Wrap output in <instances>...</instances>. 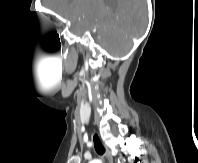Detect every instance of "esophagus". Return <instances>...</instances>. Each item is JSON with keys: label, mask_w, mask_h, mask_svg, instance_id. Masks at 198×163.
<instances>
[{"label": "esophagus", "mask_w": 198, "mask_h": 163, "mask_svg": "<svg viewBox=\"0 0 198 163\" xmlns=\"http://www.w3.org/2000/svg\"><path fill=\"white\" fill-rule=\"evenodd\" d=\"M104 147H105V156H106L108 163H113V158H112V154L110 150L105 145Z\"/></svg>", "instance_id": "esophagus-1"}]
</instances>
